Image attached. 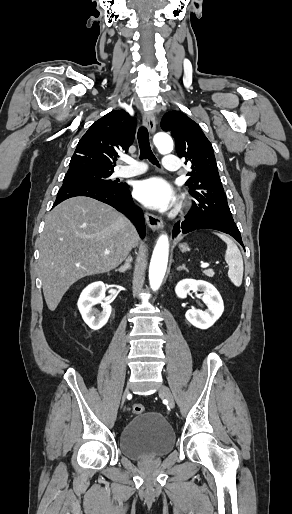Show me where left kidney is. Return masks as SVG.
I'll list each match as a JSON object with an SVG mask.
<instances>
[{"label":"left kidney","mask_w":292,"mask_h":514,"mask_svg":"<svg viewBox=\"0 0 292 514\" xmlns=\"http://www.w3.org/2000/svg\"><path fill=\"white\" fill-rule=\"evenodd\" d=\"M190 290H194V292H204L202 300L204 304H206L207 310H205V312H202V310H187L185 314L186 320H188L192 326L200 328V330H207V328H211L214 322L223 314V300L218 290H216L212 284H209V282H204V280H181L175 288L178 298H187L188 294H190Z\"/></svg>","instance_id":"1"}]
</instances>
